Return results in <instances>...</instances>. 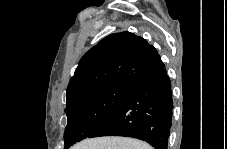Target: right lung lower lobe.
Masks as SVG:
<instances>
[{"label":"right lung lower lobe","mask_w":227,"mask_h":149,"mask_svg":"<svg viewBox=\"0 0 227 149\" xmlns=\"http://www.w3.org/2000/svg\"><path fill=\"white\" fill-rule=\"evenodd\" d=\"M172 110L171 82L163 68L135 85L126 101L88 138L126 136L167 149Z\"/></svg>","instance_id":"98d812e1"}]
</instances>
